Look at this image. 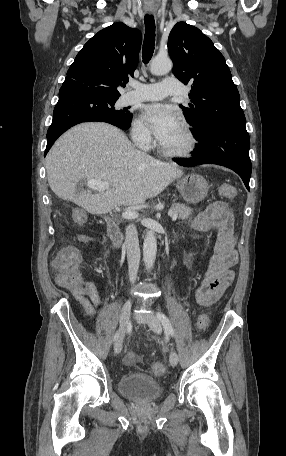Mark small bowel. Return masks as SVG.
Returning <instances> with one entry per match:
<instances>
[{
	"instance_id": "c3829d8e",
	"label": "small bowel",
	"mask_w": 286,
	"mask_h": 456,
	"mask_svg": "<svg viewBox=\"0 0 286 456\" xmlns=\"http://www.w3.org/2000/svg\"><path fill=\"white\" fill-rule=\"evenodd\" d=\"M234 224L235 217L223 202L212 203L193 220V228L198 232L219 229L215 254L206 260L200 283L195 291L196 300L202 307L214 304L235 278L233 267L238 261V252L235 247ZM92 240L93 238L87 235L77 237V241L82 244L90 243ZM101 241L106 242L105 239ZM72 294L89 317H93L101 306V298L91 281Z\"/></svg>"
}]
</instances>
